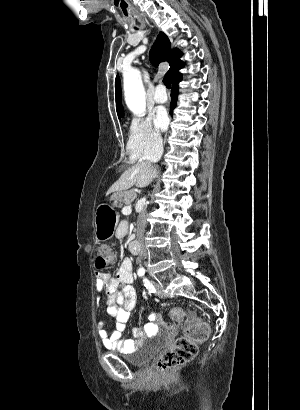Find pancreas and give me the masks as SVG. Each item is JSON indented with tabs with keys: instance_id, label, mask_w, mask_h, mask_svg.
Here are the masks:
<instances>
[{
	"instance_id": "obj_1",
	"label": "pancreas",
	"mask_w": 300,
	"mask_h": 410,
	"mask_svg": "<svg viewBox=\"0 0 300 410\" xmlns=\"http://www.w3.org/2000/svg\"><path fill=\"white\" fill-rule=\"evenodd\" d=\"M135 196H136L135 192L120 193L117 199V202H116V206L121 207L122 204H125V205L130 204L134 200Z\"/></svg>"
}]
</instances>
